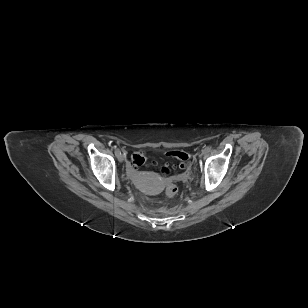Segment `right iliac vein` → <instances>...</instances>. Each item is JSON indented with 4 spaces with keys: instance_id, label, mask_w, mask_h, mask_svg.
I'll return each instance as SVG.
<instances>
[{
    "instance_id": "63e3f726",
    "label": "right iliac vein",
    "mask_w": 308,
    "mask_h": 308,
    "mask_svg": "<svg viewBox=\"0 0 308 308\" xmlns=\"http://www.w3.org/2000/svg\"><path fill=\"white\" fill-rule=\"evenodd\" d=\"M116 156H117V159H118L119 162H123L124 161V156L121 154L120 151L116 154Z\"/></svg>"
}]
</instances>
